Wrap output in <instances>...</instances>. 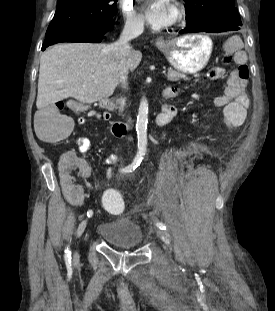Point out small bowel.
I'll return each instance as SVG.
<instances>
[{"label":"small bowel","instance_id":"small-bowel-1","mask_svg":"<svg viewBox=\"0 0 275 311\" xmlns=\"http://www.w3.org/2000/svg\"><path fill=\"white\" fill-rule=\"evenodd\" d=\"M243 43L237 36L231 37L224 41L225 60L233 58L236 68L229 76L227 86L222 95L214 99V105L224 109L225 118H235V128L240 127L246 118L247 109L249 106V98L246 92L247 79H243L238 74V67L246 65V53L241 49ZM220 66H225V61H220ZM177 88H168L164 91V97L172 98L178 94ZM75 111L84 110V107L78 103ZM177 115V108L166 103L162 106V111L157 117V125L163 126L169 123ZM88 116L97 117L99 119L107 120L109 114L106 112H97L91 110ZM78 125L82 126L86 123L85 117H79L77 120ZM205 129L208 127L206 124L203 126ZM76 144L81 153L85 154L91 147V141L87 137H78ZM59 169L56 170V175L60 176L62 180L63 190L66 196L73 204H81L84 199L83 187L72 180H83L90 176V168L87 160H84L83 155H79L78 150H61L60 155L57 157ZM118 161L116 155H111L106 159V163L111 165ZM113 174L112 169H108L107 177Z\"/></svg>","mask_w":275,"mask_h":311}]
</instances>
